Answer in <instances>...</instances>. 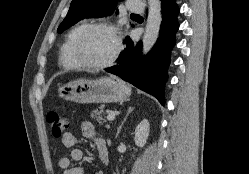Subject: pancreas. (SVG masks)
<instances>
[{"label":"pancreas","instance_id":"cf45deb5","mask_svg":"<svg viewBox=\"0 0 249 174\" xmlns=\"http://www.w3.org/2000/svg\"><path fill=\"white\" fill-rule=\"evenodd\" d=\"M103 108H104L103 106H100L99 107L100 110L95 109L93 111V115H92V116H95L97 121L100 122V123L105 122V120L103 119V116L105 114L104 111H103ZM106 127L109 128V125L107 124Z\"/></svg>","mask_w":249,"mask_h":174}]
</instances>
